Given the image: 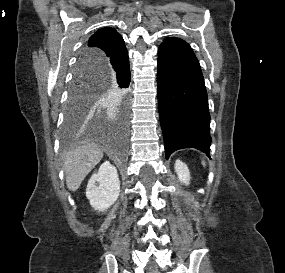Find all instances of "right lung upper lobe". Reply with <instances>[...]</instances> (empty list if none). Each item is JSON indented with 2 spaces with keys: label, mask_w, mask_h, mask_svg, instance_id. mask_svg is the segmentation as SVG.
<instances>
[{
  "label": "right lung upper lobe",
  "mask_w": 285,
  "mask_h": 273,
  "mask_svg": "<svg viewBox=\"0 0 285 273\" xmlns=\"http://www.w3.org/2000/svg\"><path fill=\"white\" fill-rule=\"evenodd\" d=\"M127 49L121 35L111 27H104L96 31L84 46L78 61V67L85 71L92 61L98 58L111 59L125 55Z\"/></svg>",
  "instance_id": "obj_1"
}]
</instances>
